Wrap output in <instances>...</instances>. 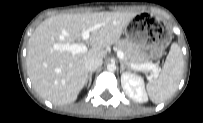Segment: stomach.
<instances>
[{
    "mask_svg": "<svg viewBox=\"0 0 203 123\" xmlns=\"http://www.w3.org/2000/svg\"><path fill=\"white\" fill-rule=\"evenodd\" d=\"M125 34L143 52L147 61L161 58L172 39L167 27L152 16H144L136 21L125 29Z\"/></svg>",
    "mask_w": 203,
    "mask_h": 123,
    "instance_id": "1",
    "label": "stomach"
}]
</instances>
